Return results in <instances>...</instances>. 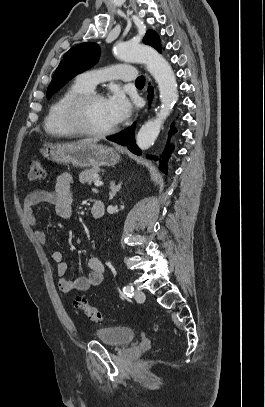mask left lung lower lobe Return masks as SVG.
I'll use <instances>...</instances> for the list:
<instances>
[{
    "label": "left lung lower lobe",
    "mask_w": 265,
    "mask_h": 407,
    "mask_svg": "<svg viewBox=\"0 0 265 407\" xmlns=\"http://www.w3.org/2000/svg\"><path fill=\"white\" fill-rule=\"evenodd\" d=\"M148 99L149 102H151L154 94H153V88L149 87L148 88ZM174 131V127L172 126L169 132V135H171V133ZM110 141H114L118 144H121L123 146H127L128 149L133 152L134 154L140 155L141 151L140 149L136 146L135 144V140H134V126L127 128L126 130H124L123 132L110 136L107 138ZM173 150V147H171L170 149H165L164 153H163V159L160 163V169L164 172L167 173V166H166V160L169 157L171 151ZM152 159H157L156 157H149Z\"/></svg>",
    "instance_id": "1"
}]
</instances>
